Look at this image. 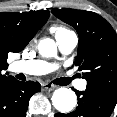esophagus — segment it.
Here are the masks:
<instances>
[{
  "instance_id": "1",
  "label": "esophagus",
  "mask_w": 117,
  "mask_h": 117,
  "mask_svg": "<svg viewBox=\"0 0 117 117\" xmlns=\"http://www.w3.org/2000/svg\"><path fill=\"white\" fill-rule=\"evenodd\" d=\"M55 88H56V86L53 85V84H50V83H44V84H42V90L43 91H52Z\"/></svg>"
}]
</instances>
